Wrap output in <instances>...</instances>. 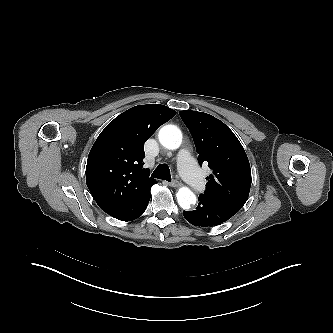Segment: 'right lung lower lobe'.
Segmentation results:
<instances>
[{"mask_svg":"<svg viewBox=\"0 0 333 333\" xmlns=\"http://www.w3.org/2000/svg\"><path fill=\"white\" fill-rule=\"evenodd\" d=\"M150 197L151 194L149 189L143 194L137 196L124 213L112 215V217L122 221H131L137 219L145 211Z\"/></svg>","mask_w":333,"mask_h":333,"instance_id":"obj_1","label":"right lung lower lobe"}]
</instances>
